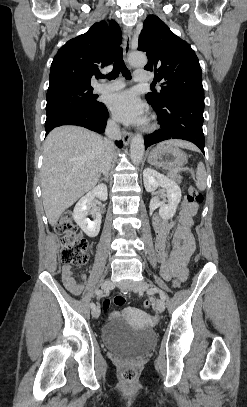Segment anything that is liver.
<instances>
[{"mask_svg": "<svg viewBox=\"0 0 247 407\" xmlns=\"http://www.w3.org/2000/svg\"><path fill=\"white\" fill-rule=\"evenodd\" d=\"M167 143L194 148L183 140ZM104 154L103 138L83 127L61 126L48 134L44 142L41 188L44 210L52 226L67 208L97 184Z\"/></svg>", "mask_w": 247, "mask_h": 407, "instance_id": "obj_1", "label": "liver"}]
</instances>
